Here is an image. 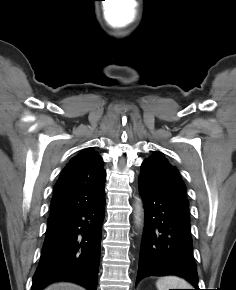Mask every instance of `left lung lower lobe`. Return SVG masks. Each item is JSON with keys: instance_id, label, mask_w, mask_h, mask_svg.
Segmentation results:
<instances>
[{"instance_id": "obj_1", "label": "left lung lower lobe", "mask_w": 236, "mask_h": 290, "mask_svg": "<svg viewBox=\"0 0 236 290\" xmlns=\"http://www.w3.org/2000/svg\"><path fill=\"white\" fill-rule=\"evenodd\" d=\"M139 180L145 227L136 284L147 276L177 275L198 289L188 200L170 188Z\"/></svg>"}]
</instances>
